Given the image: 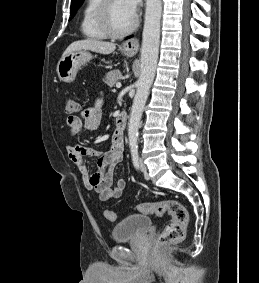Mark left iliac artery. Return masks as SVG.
<instances>
[{"instance_id":"obj_1","label":"left iliac artery","mask_w":259,"mask_h":283,"mask_svg":"<svg viewBox=\"0 0 259 283\" xmlns=\"http://www.w3.org/2000/svg\"><path fill=\"white\" fill-rule=\"evenodd\" d=\"M131 156H132V161L133 165L136 169L139 167V155H138V147L133 146L131 147Z\"/></svg>"}]
</instances>
